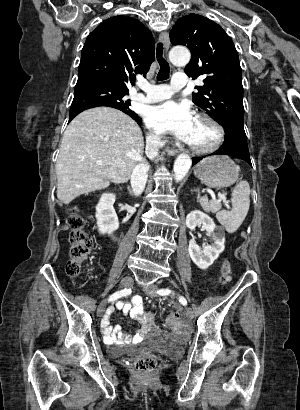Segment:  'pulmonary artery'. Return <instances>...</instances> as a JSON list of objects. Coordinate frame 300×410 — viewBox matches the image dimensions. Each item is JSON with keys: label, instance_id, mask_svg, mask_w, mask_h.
<instances>
[{"label": "pulmonary artery", "instance_id": "obj_1", "mask_svg": "<svg viewBox=\"0 0 300 410\" xmlns=\"http://www.w3.org/2000/svg\"><path fill=\"white\" fill-rule=\"evenodd\" d=\"M187 83L188 76L185 73H175L170 86L142 82L139 87L143 93L136 94L135 99L141 103L159 102L171 97L175 91L185 87Z\"/></svg>", "mask_w": 300, "mask_h": 410}]
</instances>
